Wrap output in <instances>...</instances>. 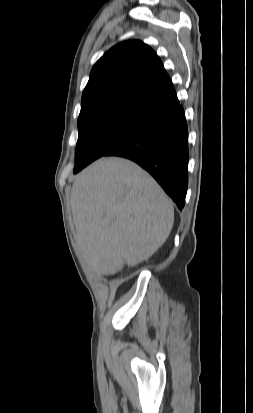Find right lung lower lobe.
I'll list each match as a JSON object with an SVG mask.
<instances>
[{"label":"right lung lower lobe","mask_w":253,"mask_h":413,"mask_svg":"<svg viewBox=\"0 0 253 413\" xmlns=\"http://www.w3.org/2000/svg\"><path fill=\"white\" fill-rule=\"evenodd\" d=\"M188 154L185 113L178 105L155 116L144 130L104 156H120L139 164L182 209L188 184Z\"/></svg>","instance_id":"right-lung-lower-lobe-1"}]
</instances>
